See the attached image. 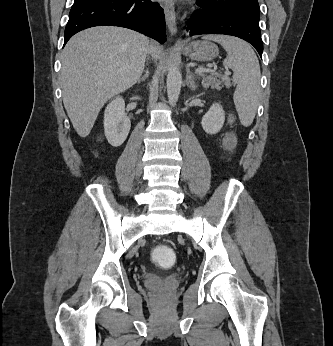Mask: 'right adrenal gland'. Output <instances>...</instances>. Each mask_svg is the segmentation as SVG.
Instances as JSON below:
<instances>
[{
  "label": "right adrenal gland",
  "mask_w": 333,
  "mask_h": 346,
  "mask_svg": "<svg viewBox=\"0 0 333 346\" xmlns=\"http://www.w3.org/2000/svg\"><path fill=\"white\" fill-rule=\"evenodd\" d=\"M148 77H149V71L145 70L144 75L138 80V83H140L141 81H145Z\"/></svg>",
  "instance_id": "obj_1"
}]
</instances>
